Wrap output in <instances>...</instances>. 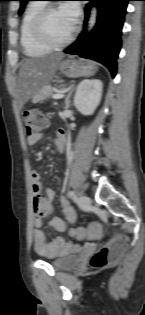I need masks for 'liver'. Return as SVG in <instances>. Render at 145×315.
I'll return each mask as SVG.
<instances>
[{"label": "liver", "instance_id": "1", "mask_svg": "<svg viewBox=\"0 0 145 315\" xmlns=\"http://www.w3.org/2000/svg\"><path fill=\"white\" fill-rule=\"evenodd\" d=\"M63 54H52L42 58L25 59L19 71L16 104L22 108L24 104L47 85L54 77Z\"/></svg>", "mask_w": 145, "mask_h": 315}]
</instances>
